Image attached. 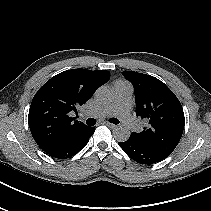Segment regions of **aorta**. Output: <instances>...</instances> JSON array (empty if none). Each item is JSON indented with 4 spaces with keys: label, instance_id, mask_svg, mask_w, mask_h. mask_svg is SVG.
Here are the masks:
<instances>
[{
    "label": "aorta",
    "instance_id": "obj_1",
    "mask_svg": "<svg viewBox=\"0 0 211 211\" xmlns=\"http://www.w3.org/2000/svg\"><path fill=\"white\" fill-rule=\"evenodd\" d=\"M95 99L101 103L112 99V92L106 87H100L95 92ZM131 131L127 126L119 125L113 130V136L118 142H124L129 139Z\"/></svg>",
    "mask_w": 211,
    "mask_h": 211
}]
</instances>
